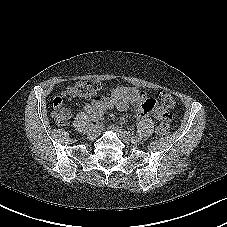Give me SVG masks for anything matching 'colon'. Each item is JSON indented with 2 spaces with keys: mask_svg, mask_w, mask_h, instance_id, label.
I'll return each mask as SVG.
<instances>
[{
  "mask_svg": "<svg viewBox=\"0 0 227 227\" xmlns=\"http://www.w3.org/2000/svg\"><path fill=\"white\" fill-rule=\"evenodd\" d=\"M101 88V84L97 81H79L73 86L68 87L62 94L54 98L52 104L51 116L58 125H64L70 117V110L66 106V100H70L75 97L82 98H97L98 91ZM157 99L159 106L166 111V116L158 127V134L165 135L168 133L171 122V115L169 112L176 108V100L173 96L167 92L160 91L157 93ZM156 103V102H155ZM157 105V104H156Z\"/></svg>",
  "mask_w": 227,
  "mask_h": 227,
  "instance_id": "obj_1",
  "label": "colon"
}]
</instances>
